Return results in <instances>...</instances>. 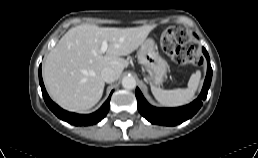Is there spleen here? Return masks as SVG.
<instances>
[{
  "label": "spleen",
  "mask_w": 258,
  "mask_h": 158,
  "mask_svg": "<svg viewBox=\"0 0 258 158\" xmlns=\"http://www.w3.org/2000/svg\"><path fill=\"white\" fill-rule=\"evenodd\" d=\"M201 72L193 73L188 81V87L173 90H163L159 87L151 85V91L155 99L162 105L168 107H176L188 104L194 98L195 92L199 86Z\"/></svg>",
  "instance_id": "1"
}]
</instances>
